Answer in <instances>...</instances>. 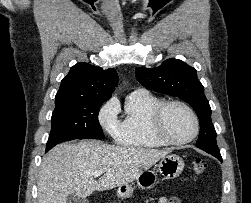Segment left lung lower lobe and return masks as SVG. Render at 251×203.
Returning <instances> with one entry per match:
<instances>
[{
  "label": "left lung lower lobe",
  "instance_id": "1",
  "mask_svg": "<svg viewBox=\"0 0 251 203\" xmlns=\"http://www.w3.org/2000/svg\"><path fill=\"white\" fill-rule=\"evenodd\" d=\"M213 156H215L216 158H218L220 161H222V157L220 154H211Z\"/></svg>",
  "mask_w": 251,
  "mask_h": 203
}]
</instances>
